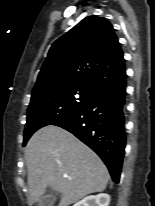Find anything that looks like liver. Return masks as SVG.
Instances as JSON below:
<instances>
[{"instance_id": "liver-1", "label": "liver", "mask_w": 155, "mask_h": 206, "mask_svg": "<svg viewBox=\"0 0 155 206\" xmlns=\"http://www.w3.org/2000/svg\"><path fill=\"white\" fill-rule=\"evenodd\" d=\"M29 199L36 203L49 186L69 206L105 190L109 173L101 159L70 132L48 125L30 138L25 149Z\"/></svg>"}]
</instances>
